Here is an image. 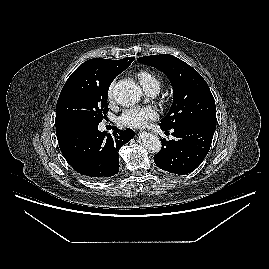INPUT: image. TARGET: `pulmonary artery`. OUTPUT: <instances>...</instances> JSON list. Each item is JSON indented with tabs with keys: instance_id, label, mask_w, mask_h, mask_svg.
Returning a JSON list of instances; mask_svg holds the SVG:
<instances>
[{
	"instance_id": "obj_1",
	"label": "pulmonary artery",
	"mask_w": 269,
	"mask_h": 269,
	"mask_svg": "<svg viewBox=\"0 0 269 269\" xmlns=\"http://www.w3.org/2000/svg\"><path fill=\"white\" fill-rule=\"evenodd\" d=\"M143 89L149 96H156L160 91V86L151 85V86L145 87Z\"/></svg>"
}]
</instances>
